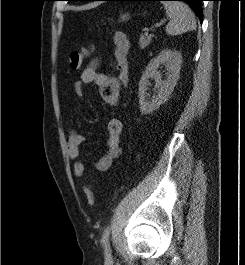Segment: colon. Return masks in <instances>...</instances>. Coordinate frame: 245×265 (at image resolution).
<instances>
[{"label": "colon", "instance_id": "obj_1", "mask_svg": "<svg viewBox=\"0 0 245 265\" xmlns=\"http://www.w3.org/2000/svg\"><path fill=\"white\" fill-rule=\"evenodd\" d=\"M113 41L115 44V61L119 69V82L122 86L128 83V72H129V42L126 35L123 32H115L113 36ZM95 46L91 45L89 47L81 48L79 50L72 51L69 54V66L72 70H78L85 58L90 56L95 51ZM84 194L87 199V203L90 206L95 204V195L90 187L84 189Z\"/></svg>", "mask_w": 245, "mask_h": 265}]
</instances>
